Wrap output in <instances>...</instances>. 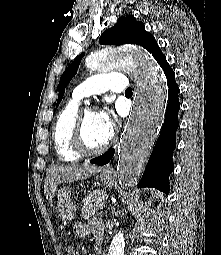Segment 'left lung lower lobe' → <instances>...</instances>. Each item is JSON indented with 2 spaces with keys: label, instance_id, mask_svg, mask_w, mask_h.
I'll list each match as a JSON object with an SVG mask.
<instances>
[{
  "label": "left lung lower lobe",
  "instance_id": "1",
  "mask_svg": "<svg viewBox=\"0 0 221 255\" xmlns=\"http://www.w3.org/2000/svg\"><path fill=\"white\" fill-rule=\"evenodd\" d=\"M153 57L156 59L158 64H160L166 75L169 88V103L167 104L165 120L160 136L155 144V147L149 158L144 174L138 183V186L154 187L168 193V178L170 173L173 171L172 153L176 147L175 134L179 126V88L175 82V74L166 61V57L161 52V50H157ZM114 152L115 150L111 148L105 154L90 160V162L98 165H105L112 159Z\"/></svg>",
  "mask_w": 221,
  "mask_h": 255
}]
</instances>
